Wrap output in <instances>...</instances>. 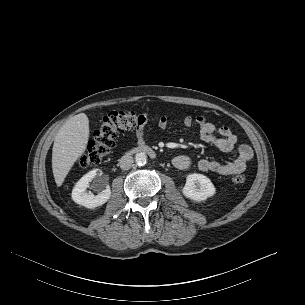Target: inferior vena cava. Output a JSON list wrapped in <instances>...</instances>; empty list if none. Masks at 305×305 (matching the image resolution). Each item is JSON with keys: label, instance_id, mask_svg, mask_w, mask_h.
I'll list each match as a JSON object with an SVG mask.
<instances>
[{"label": "inferior vena cava", "instance_id": "inferior-vena-cava-1", "mask_svg": "<svg viewBox=\"0 0 305 305\" xmlns=\"http://www.w3.org/2000/svg\"><path fill=\"white\" fill-rule=\"evenodd\" d=\"M133 162H134L133 157L129 155H125L120 158L119 165L122 170H128L132 167Z\"/></svg>", "mask_w": 305, "mask_h": 305}]
</instances>
